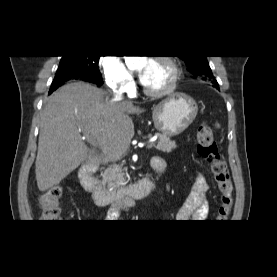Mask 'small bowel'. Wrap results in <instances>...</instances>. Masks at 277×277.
Listing matches in <instances>:
<instances>
[{"mask_svg":"<svg viewBox=\"0 0 277 277\" xmlns=\"http://www.w3.org/2000/svg\"><path fill=\"white\" fill-rule=\"evenodd\" d=\"M160 158V157H159ZM163 167H159L158 160L154 157L151 161L153 170L159 174L165 171L166 165L162 158ZM209 185L205 177L199 174L193 184L192 190L185 203L177 213L178 220H203L206 218L209 210L207 201V192ZM118 216V210H112L109 218L113 219Z\"/></svg>","mask_w":277,"mask_h":277,"instance_id":"small-bowel-1","label":"small bowel"}]
</instances>
